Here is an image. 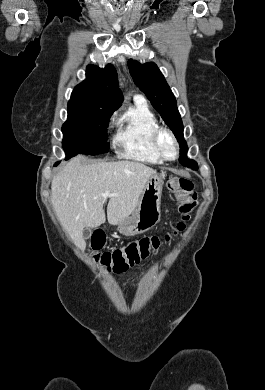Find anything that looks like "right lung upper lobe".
Returning a JSON list of instances; mask_svg holds the SVG:
<instances>
[{"mask_svg": "<svg viewBox=\"0 0 265 390\" xmlns=\"http://www.w3.org/2000/svg\"><path fill=\"white\" fill-rule=\"evenodd\" d=\"M123 95L118 85L116 69L107 64L104 69L94 65L86 68V79L78 84L69 106H87L114 112L121 106Z\"/></svg>", "mask_w": 265, "mask_h": 390, "instance_id": "obj_1", "label": "right lung upper lobe"}]
</instances>
